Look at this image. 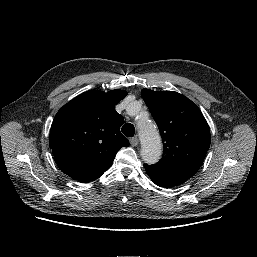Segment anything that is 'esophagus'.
Listing matches in <instances>:
<instances>
[{
    "label": "esophagus",
    "instance_id": "34e87169",
    "mask_svg": "<svg viewBox=\"0 0 257 257\" xmlns=\"http://www.w3.org/2000/svg\"><path fill=\"white\" fill-rule=\"evenodd\" d=\"M138 137L137 136H135V137H133V138H131L130 139V144H131V146H133V147H136L137 145H138Z\"/></svg>",
    "mask_w": 257,
    "mask_h": 257
}]
</instances>
